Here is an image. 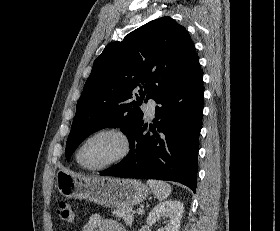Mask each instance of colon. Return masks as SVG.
I'll use <instances>...</instances> for the list:
<instances>
[{
  "label": "colon",
  "instance_id": "1",
  "mask_svg": "<svg viewBox=\"0 0 280 231\" xmlns=\"http://www.w3.org/2000/svg\"><path fill=\"white\" fill-rule=\"evenodd\" d=\"M55 212L60 215V220L63 225H73L74 224V215H72V211L70 206L67 204L65 200H61L58 208L55 209Z\"/></svg>",
  "mask_w": 280,
  "mask_h": 231
}]
</instances>
